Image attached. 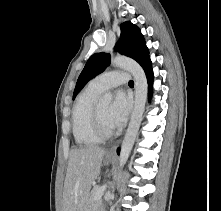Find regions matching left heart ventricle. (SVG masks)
I'll use <instances>...</instances> for the list:
<instances>
[{"label":"left heart ventricle","instance_id":"left-heart-ventricle-1","mask_svg":"<svg viewBox=\"0 0 221 211\" xmlns=\"http://www.w3.org/2000/svg\"><path fill=\"white\" fill-rule=\"evenodd\" d=\"M109 108H110L109 103H99L98 104L100 117H101L104 127L109 131H113L114 128L111 125L110 120H109Z\"/></svg>","mask_w":221,"mask_h":211}]
</instances>
